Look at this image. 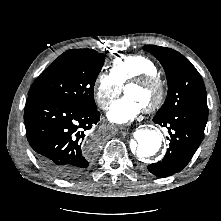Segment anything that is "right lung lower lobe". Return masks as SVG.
Returning <instances> with one entry per match:
<instances>
[{
    "label": "right lung lower lobe",
    "mask_w": 221,
    "mask_h": 221,
    "mask_svg": "<svg viewBox=\"0 0 221 221\" xmlns=\"http://www.w3.org/2000/svg\"><path fill=\"white\" fill-rule=\"evenodd\" d=\"M100 120L98 110H86L41 96L30 95L24 110L26 136L42 167L61 179L82 175L93 148L83 142L86 130Z\"/></svg>",
    "instance_id": "1"
}]
</instances>
